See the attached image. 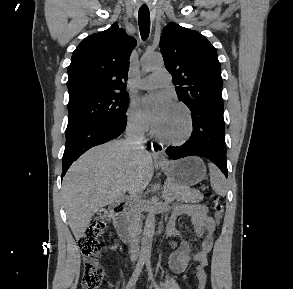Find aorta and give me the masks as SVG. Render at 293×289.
<instances>
[{"label": "aorta", "mask_w": 293, "mask_h": 289, "mask_svg": "<svg viewBox=\"0 0 293 289\" xmlns=\"http://www.w3.org/2000/svg\"><path fill=\"white\" fill-rule=\"evenodd\" d=\"M163 66V59L158 55H145L142 59V68L145 71H153ZM155 204L152 200L145 222L141 253L144 256H150L153 236L155 233Z\"/></svg>", "instance_id": "aorta-1"}]
</instances>
